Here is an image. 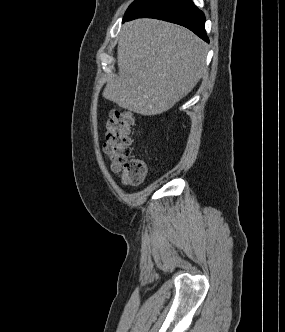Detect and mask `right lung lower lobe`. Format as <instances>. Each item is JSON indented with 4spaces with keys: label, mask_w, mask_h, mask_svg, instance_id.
<instances>
[{
    "label": "right lung lower lobe",
    "mask_w": 285,
    "mask_h": 332,
    "mask_svg": "<svg viewBox=\"0 0 285 332\" xmlns=\"http://www.w3.org/2000/svg\"><path fill=\"white\" fill-rule=\"evenodd\" d=\"M136 18H156L176 23L209 42L205 31V15L195 7L192 0H149L123 22Z\"/></svg>",
    "instance_id": "98d812e1"
}]
</instances>
